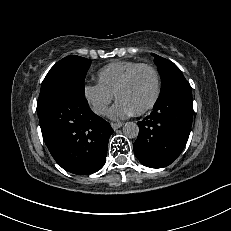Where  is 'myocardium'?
I'll return each mask as SVG.
<instances>
[{
  "label": "myocardium",
  "instance_id": "1",
  "mask_svg": "<svg viewBox=\"0 0 231 231\" xmlns=\"http://www.w3.org/2000/svg\"><path fill=\"white\" fill-rule=\"evenodd\" d=\"M142 69H148L153 73L155 78V93L152 100L145 107L134 112L135 115L145 114L146 112L150 111L158 102L162 90L161 76L158 69L151 64L141 63L127 74V76L123 79V81L120 83L115 92V98L116 100H118L120 93L132 82L136 74Z\"/></svg>",
  "mask_w": 231,
  "mask_h": 231
}]
</instances>
